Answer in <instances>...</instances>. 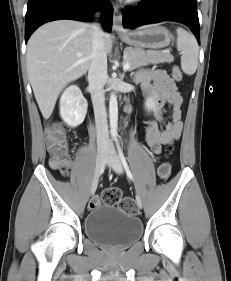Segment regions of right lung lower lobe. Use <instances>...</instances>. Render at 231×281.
Wrapping results in <instances>:
<instances>
[{
  "label": "right lung lower lobe",
  "mask_w": 231,
  "mask_h": 281,
  "mask_svg": "<svg viewBox=\"0 0 231 281\" xmlns=\"http://www.w3.org/2000/svg\"><path fill=\"white\" fill-rule=\"evenodd\" d=\"M100 7L104 30L112 29V6L107 0H28L25 20V42L41 25L49 21L71 19L90 21Z\"/></svg>",
  "instance_id": "obj_1"
}]
</instances>
